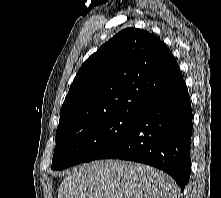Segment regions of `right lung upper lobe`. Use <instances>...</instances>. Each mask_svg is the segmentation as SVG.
Segmentation results:
<instances>
[{"label": "right lung upper lobe", "instance_id": "cb5924a9", "mask_svg": "<svg viewBox=\"0 0 221 198\" xmlns=\"http://www.w3.org/2000/svg\"><path fill=\"white\" fill-rule=\"evenodd\" d=\"M182 80L165 43L147 31L124 29L82 64L62 105L56 135L113 114L139 115Z\"/></svg>", "mask_w": 221, "mask_h": 198}]
</instances>
